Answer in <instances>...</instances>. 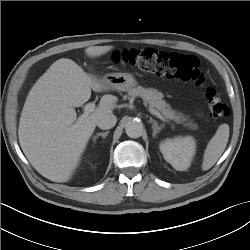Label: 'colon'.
I'll return each mask as SVG.
<instances>
[{
    "label": "colon",
    "instance_id": "1",
    "mask_svg": "<svg viewBox=\"0 0 250 250\" xmlns=\"http://www.w3.org/2000/svg\"><path fill=\"white\" fill-rule=\"evenodd\" d=\"M115 60L118 63L129 64L141 71L159 76L203 83V74L198 59L192 55L174 52L157 51L153 49L131 48L117 52ZM210 114L218 119L230 115L228 105L218 96L214 89L205 93Z\"/></svg>",
    "mask_w": 250,
    "mask_h": 250
}]
</instances>
